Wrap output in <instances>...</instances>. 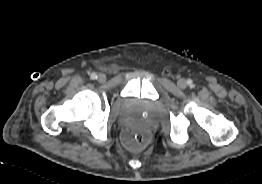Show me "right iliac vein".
<instances>
[{"label":"right iliac vein","mask_w":262,"mask_h":184,"mask_svg":"<svg viewBox=\"0 0 262 184\" xmlns=\"http://www.w3.org/2000/svg\"><path fill=\"white\" fill-rule=\"evenodd\" d=\"M105 80H106V76H105V74H99L98 75V81L100 82V83H103V82H105Z\"/></svg>","instance_id":"right-iliac-vein-1"}]
</instances>
